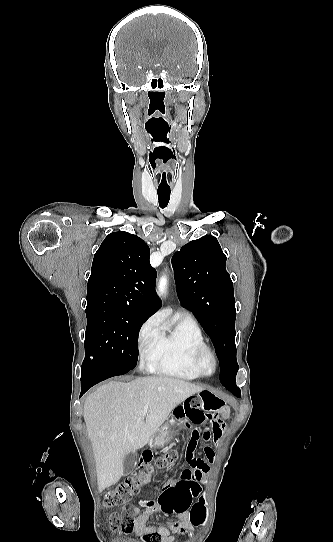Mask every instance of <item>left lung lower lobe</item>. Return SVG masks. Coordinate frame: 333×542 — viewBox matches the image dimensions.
<instances>
[{"instance_id": "0a47b994", "label": "left lung lower lobe", "mask_w": 333, "mask_h": 542, "mask_svg": "<svg viewBox=\"0 0 333 542\" xmlns=\"http://www.w3.org/2000/svg\"><path fill=\"white\" fill-rule=\"evenodd\" d=\"M222 385L225 386L226 389H228L230 392H232L236 396H240V389L235 384V379L231 380H220Z\"/></svg>"}]
</instances>
